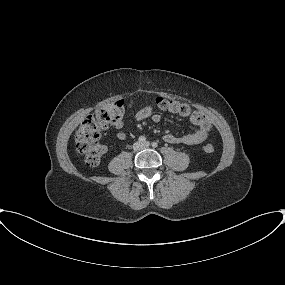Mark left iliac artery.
I'll return each instance as SVG.
<instances>
[{
	"label": "left iliac artery",
	"mask_w": 285,
	"mask_h": 285,
	"mask_svg": "<svg viewBox=\"0 0 285 285\" xmlns=\"http://www.w3.org/2000/svg\"><path fill=\"white\" fill-rule=\"evenodd\" d=\"M152 146L155 148V147L158 146V144H157L156 142H153V143H152Z\"/></svg>",
	"instance_id": "obj_1"
}]
</instances>
